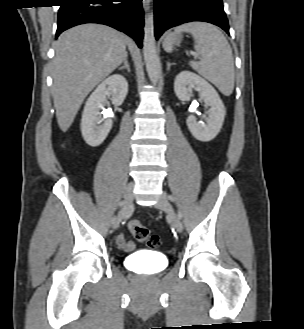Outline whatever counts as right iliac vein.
<instances>
[{
	"mask_svg": "<svg viewBox=\"0 0 304 329\" xmlns=\"http://www.w3.org/2000/svg\"><path fill=\"white\" fill-rule=\"evenodd\" d=\"M123 197H124L123 208L121 209L118 216L116 217L115 222L112 224L114 229L119 227L122 219L126 216L128 210L131 206L132 198H133V184L132 183H129L126 186Z\"/></svg>",
	"mask_w": 304,
	"mask_h": 329,
	"instance_id": "63e3f726",
	"label": "right iliac vein"
}]
</instances>
